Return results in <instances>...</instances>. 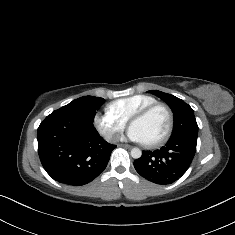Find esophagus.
Returning <instances> with one entry per match:
<instances>
[{
  "label": "esophagus",
  "instance_id": "1",
  "mask_svg": "<svg viewBox=\"0 0 235 235\" xmlns=\"http://www.w3.org/2000/svg\"><path fill=\"white\" fill-rule=\"evenodd\" d=\"M119 147H123V148H127V149H131L132 146L129 144H118Z\"/></svg>",
  "mask_w": 235,
  "mask_h": 235
}]
</instances>
